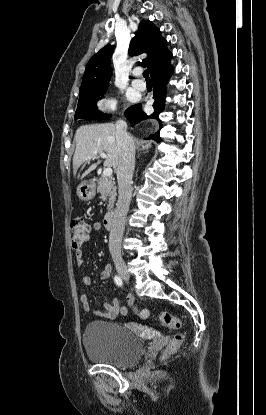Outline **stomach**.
I'll return each instance as SVG.
<instances>
[{"label":"stomach","instance_id":"0dacf381","mask_svg":"<svg viewBox=\"0 0 266 415\" xmlns=\"http://www.w3.org/2000/svg\"><path fill=\"white\" fill-rule=\"evenodd\" d=\"M95 184L91 181H83L77 187V196L82 201H90L95 197Z\"/></svg>","mask_w":266,"mask_h":415}]
</instances>
